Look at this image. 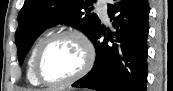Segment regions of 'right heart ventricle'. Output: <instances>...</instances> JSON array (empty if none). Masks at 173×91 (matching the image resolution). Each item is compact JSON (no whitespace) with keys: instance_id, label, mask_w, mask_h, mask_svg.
Wrapping results in <instances>:
<instances>
[{"instance_id":"e07e8e85","label":"right heart ventricle","mask_w":173,"mask_h":91,"mask_svg":"<svg viewBox=\"0 0 173 91\" xmlns=\"http://www.w3.org/2000/svg\"><path fill=\"white\" fill-rule=\"evenodd\" d=\"M47 36H48V32L46 31L35 41L32 49L30 51V54H29L28 67H27V78H28L29 82L33 85H39V83H40L34 75V69H33L34 57H35L38 47L40 46V44L43 42V40Z\"/></svg>"}]
</instances>
